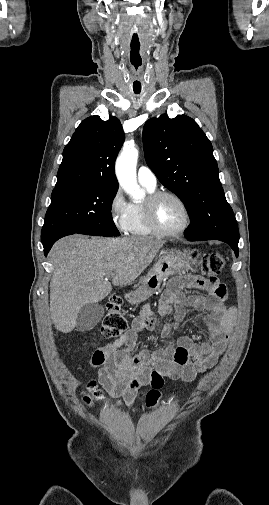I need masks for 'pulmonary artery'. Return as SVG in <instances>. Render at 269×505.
Listing matches in <instances>:
<instances>
[{"label": "pulmonary artery", "instance_id": "obj_1", "mask_svg": "<svg viewBox=\"0 0 269 505\" xmlns=\"http://www.w3.org/2000/svg\"><path fill=\"white\" fill-rule=\"evenodd\" d=\"M137 178L141 185L155 188L157 185V178L154 172L147 166L139 167L137 171Z\"/></svg>", "mask_w": 269, "mask_h": 505}]
</instances>
